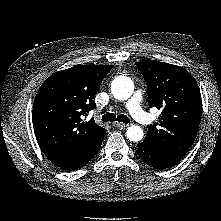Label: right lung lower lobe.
<instances>
[{
  "label": "right lung lower lobe",
  "instance_id": "obj_1",
  "mask_svg": "<svg viewBox=\"0 0 221 221\" xmlns=\"http://www.w3.org/2000/svg\"><path fill=\"white\" fill-rule=\"evenodd\" d=\"M102 143V142H101ZM101 143L90 151L78 156L46 155L50 161L65 170H77L85 166L100 150Z\"/></svg>",
  "mask_w": 221,
  "mask_h": 221
}]
</instances>
